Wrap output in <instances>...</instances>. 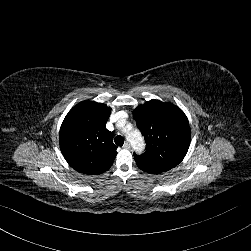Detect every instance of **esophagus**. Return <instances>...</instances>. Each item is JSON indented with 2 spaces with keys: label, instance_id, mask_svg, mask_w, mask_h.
Masks as SVG:
<instances>
[{
  "label": "esophagus",
  "instance_id": "esophagus-1",
  "mask_svg": "<svg viewBox=\"0 0 251 251\" xmlns=\"http://www.w3.org/2000/svg\"><path fill=\"white\" fill-rule=\"evenodd\" d=\"M123 148L124 149H130L131 146H130V144L128 142H125L124 145H123Z\"/></svg>",
  "mask_w": 251,
  "mask_h": 251
}]
</instances>
